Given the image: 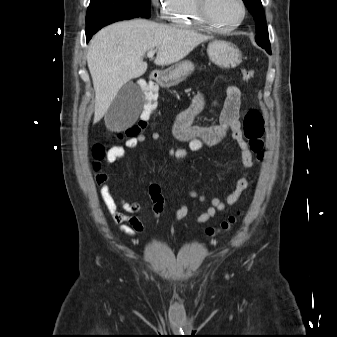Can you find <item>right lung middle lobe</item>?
Listing matches in <instances>:
<instances>
[{
	"label": "right lung middle lobe",
	"mask_w": 337,
	"mask_h": 337,
	"mask_svg": "<svg viewBox=\"0 0 337 337\" xmlns=\"http://www.w3.org/2000/svg\"><path fill=\"white\" fill-rule=\"evenodd\" d=\"M114 14L149 18L150 0H91L86 24L99 17Z\"/></svg>",
	"instance_id": "dd1d6c3e"
}]
</instances>
